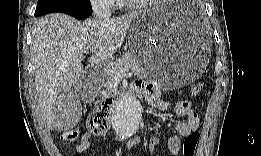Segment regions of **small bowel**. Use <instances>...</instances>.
<instances>
[{
  "label": "small bowel",
  "instance_id": "small-bowel-1",
  "mask_svg": "<svg viewBox=\"0 0 261 156\" xmlns=\"http://www.w3.org/2000/svg\"><path fill=\"white\" fill-rule=\"evenodd\" d=\"M134 90L136 93H142L146 97L148 103L153 107L158 108L159 110L167 111L172 107L170 102L161 99L157 87L153 84L138 80L134 83ZM174 111L178 116H186L187 120L177 122L174 125L173 133L167 141V147L172 156L178 155L181 150L180 137L186 139L192 133L197 132L200 124L199 115L192 107V104L189 100L178 101L174 105ZM158 141L159 140L157 137H153L149 142V153L152 156L157 155L156 146ZM140 142V140H136L133 142V144ZM90 144L91 135L86 132L82 135L81 141L76 147L75 156H82L83 153L90 147Z\"/></svg>",
  "mask_w": 261,
  "mask_h": 156
}]
</instances>
